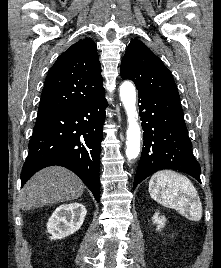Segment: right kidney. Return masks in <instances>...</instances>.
I'll return each instance as SVG.
<instances>
[{"label":"right kidney","instance_id":"1","mask_svg":"<svg viewBox=\"0 0 221 268\" xmlns=\"http://www.w3.org/2000/svg\"><path fill=\"white\" fill-rule=\"evenodd\" d=\"M86 214L85 206L80 203L59 206L47 223V231L52 235L51 239H62L78 231Z\"/></svg>","mask_w":221,"mask_h":268}]
</instances>
